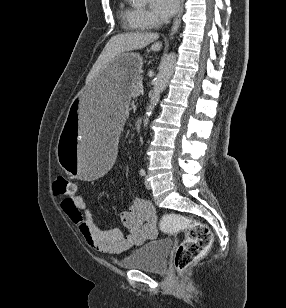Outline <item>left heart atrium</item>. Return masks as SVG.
I'll list each match as a JSON object with an SVG mask.
<instances>
[{
  "instance_id": "obj_1",
  "label": "left heart atrium",
  "mask_w": 286,
  "mask_h": 308,
  "mask_svg": "<svg viewBox=\"0 0 286 308\" xmlns=\"http://www.w3.org/2000/svg\"><path fill=\"white\" fill-rule=\"evenodd\" d=\"M179 0H152L154 12L162 19H167L175 14Z\"/></svg>"
}]
</instances>
